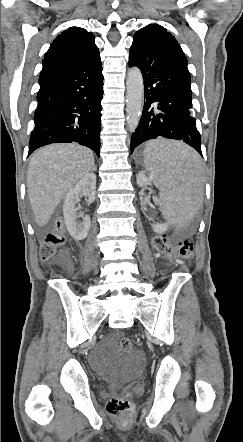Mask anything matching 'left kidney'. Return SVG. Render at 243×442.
I'll list each match as a JSON object with an SVG mask.
<instances>
[{"label":"left kidney","instance_id":"obj_1","mask_svg":"<svg viewBox=\"0 0 243 442\" xmlns=\"http://www.w3.org/2000/svg\"><path fill=\"white\" fill-rule=\"evenodd\" d=\"M137 184H138L140 187H143V186H146V185H151V181H150L148 178L145 177V174H144L143 172H140V173L138 174V176H137ZM154 202H155L156 204H159L160 207H161V205H164V204H163L160 200H158L157 198H154ZM169 225H170L169 222H166V223H164V224H154V223L151 224L152 228H153L154 226H157L162 232H166V231L168 230Z\"/></svg>","mask_w":243,"mask_h":442}]
</instances>
